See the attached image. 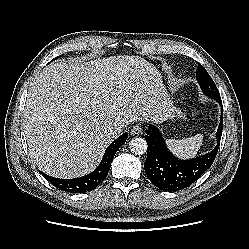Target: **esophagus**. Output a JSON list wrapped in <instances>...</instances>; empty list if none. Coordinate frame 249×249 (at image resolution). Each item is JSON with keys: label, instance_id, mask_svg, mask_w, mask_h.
<instances>
[{"label": "esophagus", "instance_id": "1", "mask_svg": "<svg viewBox=\"0 0 249 249\" xmlns=\"http://www.w3.org/2000/svg\"><path fill=\"white\" fill-rule=\"evenodd\" d=\"M131 134H133L134 136H139L140 134H142V128L140 125H134L131 128Z\"/></svg>", "mask_w": 249, "mask_h": 249}]
</instances>
